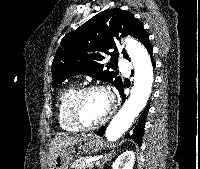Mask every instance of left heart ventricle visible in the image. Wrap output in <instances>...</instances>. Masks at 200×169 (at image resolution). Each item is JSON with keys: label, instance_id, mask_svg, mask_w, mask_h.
Here are the masks:
<instances>
[{"label": "left heart ventricle", "instance_id": "b2bd125f", "mask_svg": "<svg viewBox=\"0 0 200 169\" xmlns=\"http://www.w3.org/2000/svg\"><path fill=\"white\" fill-rule=\"evenodd\" d=\"M109 110L107 96L99 91L88 93L80 105V117L85 125H93L99 122Z\"/></svg>", "mask_w": 200, "mask_h": 169}]
</instances>
